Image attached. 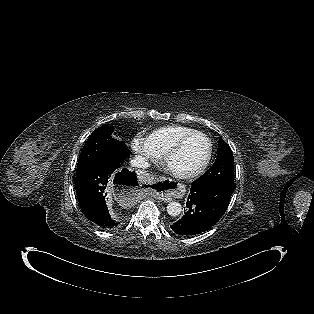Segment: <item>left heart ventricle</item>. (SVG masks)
<instances>
[{"mask_svg":"<svg viewBox=\"0 0 314 314\" xmlns=\"http://www.w3.org/2000/svg\"><path fill=\"white\" fill-rule=\"evenodd\" d=\"M208 154V142L202 136H194L183 146L170 162L173 169L179 172H189L198 168Z\"/></svg>","mask_w":314,"mask_h":314,"instance_id":"1","label":"left heart ventricle"}]
</instances>
